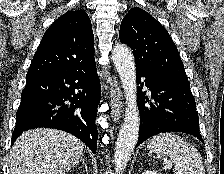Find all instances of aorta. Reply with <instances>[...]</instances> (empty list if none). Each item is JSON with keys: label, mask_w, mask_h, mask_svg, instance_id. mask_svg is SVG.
Listing matches in <instances>:
<instances>
[{"label": "aorta", "mask_w": 224, "mask_h": 174, "mask_svg": "<svg viewBox=\"0 0 224 174\" xmlns=\"http://www.w3.org/2000/svg\"><path fill=\"white\" fill-rule=\"evenodd\" d=\"M112 59L124 89L127 105L114 154L115 170L120 174L125 169L138 140L139 112L135 61L131 50L123 44H117L112 51Z\"/></svg>", "instance_id": "obj_1"}]
</instances>
